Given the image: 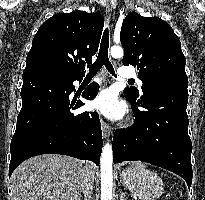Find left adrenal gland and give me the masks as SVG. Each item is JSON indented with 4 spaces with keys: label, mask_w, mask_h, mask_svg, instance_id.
I'll use <instances>...</instances> for the list:
<instances>
[{
    "label": "left adrenal gland",
    "mask_w": 205,
    "mask_h": 200,
    "mask_svg": "<svg viewBox=\"0 0 205 200\" xmlns=\"http://www.w3.org/2000/svg\"><path fill=\"white\" fill-rule=\"evenodd\" d=\"M120 200H127L125 193H123V192L121 193V195H120Z\"/></svg>",
    "instance_id": "left-adrenal-gland-1"
}]
</instances>
